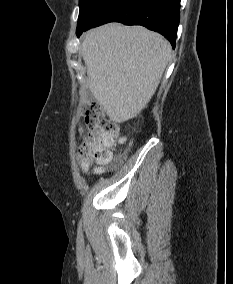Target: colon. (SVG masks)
Returning <instances> with one entry per match:
<instances>
[{
  "label": "colon",
  "instance_id": "5ec220e1",
  "mask_svg": "<svg viewBox=\"0 0 233 284\" xmlns=\"http://www.w3.org/2000/svg\"><path fill=\"white\" fill-rule=\"evenodd\" d=\"M87 133L80 146L81 160L89 165L107 164L115 146L116 125L97 104L85 108Z\"/></svg>",
  "mask_w": 233,
  "mask_h": 284
}]
</instances>
